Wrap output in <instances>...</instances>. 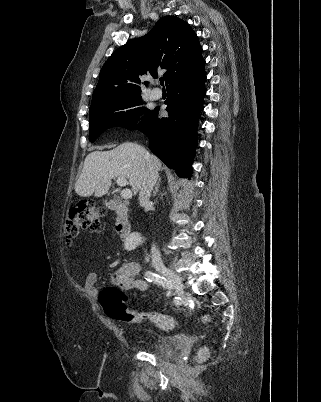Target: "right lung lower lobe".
I'll list each match as a JSON object with an SVG mask.
<instances>
[{
  "label": "right lung lower lobe",
  "mask_w": 321,
  "mask_h": 402,
  "mask_svg": "<svg viewBox=\"0 0 321 402\" xmlns=\"http://www.w3.org/2000/svg\"><path fill=\"white\" fill-rule=\"evenodd\" d=\"M204 65L168 83L167 118L158 117L157 107L143 118L141 125L128 128L140 129L148 135L151 151L168 167L176 169L181 177L189 179L197 145L198 116L205 96Z\"/></svg>",
  "instance_id": "obj_1"
}]
</instances>
